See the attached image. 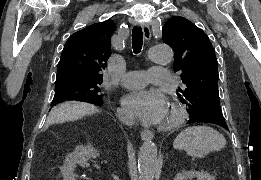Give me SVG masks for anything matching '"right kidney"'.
I'll use <instances>...</instances> for the list:
<instances>
[{"mask_svg": "<svg viewBox=\"0 0 261 180\" xmlns=\"http://www.w3.org/2000/svg\"><path fill=\"white\" fill-rule=\"evenodd\" d=\"M97 156H99V152L95 148H92V146H77L75 152L67 156L65 164L61 168L64 180H74L73 170L76 164L85 166L88 158H97Z\"/></svg>", "mask_w": 261, "mask_h": 180, "instance_id": "ca27d5eb", "label": "right kidney"}]
</instances>
